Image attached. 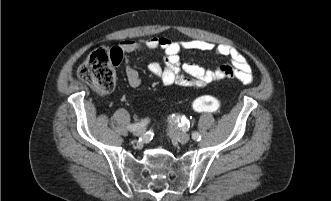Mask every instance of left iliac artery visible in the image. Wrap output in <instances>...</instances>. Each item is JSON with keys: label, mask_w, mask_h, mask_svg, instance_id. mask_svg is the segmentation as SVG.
Masks as SVG:
<instances>
[{"label": "left iliac artery", "mask_w": 331, "mask_h": 201, "mask_svg": "<svg viewBox=\"0 0 331 201\" xmlns=\"http://www.w3.org/2000/svg\"><path fill=\"white\" fill-rule=\"evenodd\" d=\"M170 122L177 128L186 131L190 128L191 123L189 119L183 115L180 114H172L170 117ZM192 138L196 141H199L201 139V136L198 132L192 133Z\"/></svg>", "instance_id": "obj_1"}]
</instances>
